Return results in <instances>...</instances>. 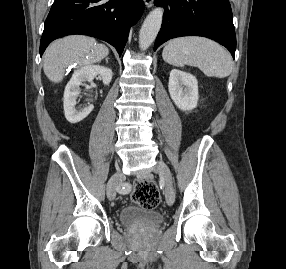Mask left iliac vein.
<instances>
[{
  "instance_id": "left-iliac-vein-1",
  "label": "left iliac vein",
  "mask_w": 286,
  "mask_h": 269,
  "mask_svg": "<svg viewBox=\"0 0 286 269\" xmlns=\"http://www.w3.org/2000/svg\"><path fill=\"white\" fill-rule=\"evenodd\" d=\"M154 172L158 173L165 182V199L166 203L171 206L175 201V191L172 177L168 166L163 161H158Z\"/></svg>"
}]
</instances>
